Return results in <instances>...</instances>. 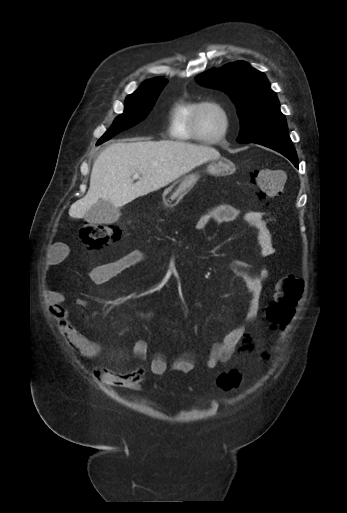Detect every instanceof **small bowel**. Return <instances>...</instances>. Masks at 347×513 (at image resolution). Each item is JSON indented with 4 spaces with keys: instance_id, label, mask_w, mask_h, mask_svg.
Wrapping results in <instances>:
<instances>
[{
    "instance_id": "c3829d8e",
    "label": "small bowel",
    "mask_w": 347,
    "mask_h": 513,
    "mask_svg": "<svg viewBox=\"0 0 347 513\" xmlns=\"http://www.w3.org/2000/svg\"><path fill=\"white\" fill-rule=\"evenodd\" d=\"M240 219L253 228L260 256L267 258L274 255L275 247L270 231L260 212H247L242 214L238 208L230 205L216 206L206 210L200 215L196 223V229L205 230L211 224L234 223ZM65 248L63 243H54L51 246L44 261L45 270L64 260ZM145 260L146 255L142 250H132L114 261L95 267L90 273V278L95 284H104L129 268L143 263ZM231 269L245 274L250 283L248 287L250 298L245 310L244 319L246 322H251L258 315L261 287L262 283L267 278V271L266 269H262L259 274H255L250 262H233ZM45 286V299L50 307V311L59 322L60 332L83 357L88 359L96 358L100 354L99 344L84 336L71 324L67 309L63 305V293L48 284ZM249 339L250 335L246 331L245 326L243 324H236L211 346L206 360V366L212 369L219 364L230 361L239 345L248 342ZM147 350L148 344L145 340L139 339L132 344V353L139 359L144 360L146 358ZM265 361L270 362L272 359ZM194 367L195 363L190 353L180 355L171 362H168L163 353L157 352L153 355L149 365L150 371L156 375H162L168 370L189 373ZM144 374L145 368L143 367H137L128 373H118L110 369H100L95 372V377L110 386L136 389Z\"/></svg>"
}]
</instances>
